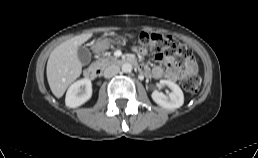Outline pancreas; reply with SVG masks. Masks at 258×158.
I'll list each match as a JSON object with an SVG mask.
<instances>
[{"mask_svg":"<svg viewBox=\"0 0 258 158\" xmlns=\"http://www.w3.org/2000/svg\"><path fill=\"white\" fill-rule=\"evenodd\" d=\"M116 59L110 55H103L100 57L96 63L99 64L101 67H107L108 65L114 63Z\"/></svg>","mask_w":258,"mask_h":158,"instance_id":"obj_1","label":"pancreas"}]
</instances>
